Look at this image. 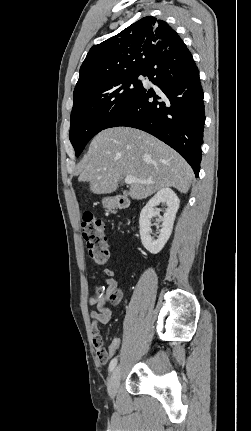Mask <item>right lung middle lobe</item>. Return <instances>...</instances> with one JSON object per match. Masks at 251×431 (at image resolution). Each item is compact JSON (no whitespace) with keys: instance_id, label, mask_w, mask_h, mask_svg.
I'll return each mask as SVG.
<instances>
[{"instance_id":"1","label":"right lung middle lobe","mask_w":251,"mask_h":431,"mask_svg":"<svg viewBox=\"0 0 251 431\" xmlns=\"http://www.w3.org/2000/svg\"><path fill=\"white\" fill-rule=\"evenodd\" d=\"M140 75L145 71L124 74L103 84L73 95L70 141L78 157L89 140L105 129L113 118L143 88Z\"/></svg>"}]
</instances>
